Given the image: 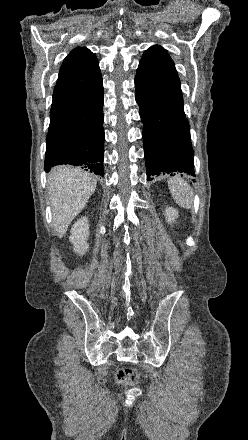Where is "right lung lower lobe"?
<instances>
[{
  "label": "right lung lower lobe",
  "mask_w": 248,
  "mask_h": 440,
  "mask_svg": "<svg viewBox=\"0 0 248 440\" xmlns=\"http://www.w3.org/2000/svg\"><path fill=\"white\" fill-rule=\"evenodd\" d=\"M103 94L101 78L86 89L53 97L46 172L55 165L71 164L104 176Z\"/></svg>",
  "instance_id": "right-lung-lower-lobe-1"
}]
</instances>
